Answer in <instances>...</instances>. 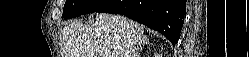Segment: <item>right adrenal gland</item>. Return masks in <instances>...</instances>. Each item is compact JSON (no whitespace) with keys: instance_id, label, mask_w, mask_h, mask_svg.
Here are the masks:
<instances>
[{"instance_id":"obj_1","label":"right adrenal gland","mask_w":249,"mask_h":57,"mask_svg":"<svg viewBox=\"0 0 249 57\" xmlns=\"http://www.w3.org/2000/svg\"><path fill=\"white\" fill-rule=\"evenodd\" d=\"M147 44H149V41H148L147 37H144V39L140 43V46L141 45L144 46V45H147ZM140 46H139L138 52H137L138 53V57L140 56V52L142 51V47H140Z\"/></svg>"}]
</instances>
